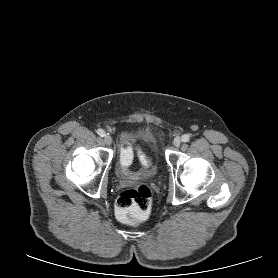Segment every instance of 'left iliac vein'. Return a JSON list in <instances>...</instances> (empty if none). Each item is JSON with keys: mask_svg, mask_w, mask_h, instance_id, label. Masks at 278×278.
Instances as JSON below:
<instances>
[{"mask_svg": "<svg viewBox=\"0 0 278 278\" xmlns=\"http://www.w3.org/2000/svg\"><path fill=\"white\" fill-rule=\"evenodd\" d=\"M181 144V138L180 137H176L174 140H173V145L175 147H179Z\"/></svg>", "mask_w": 278, "mask_h": 278, "instance_id": "1", "label": "left iliac vein"}]
</instances>
